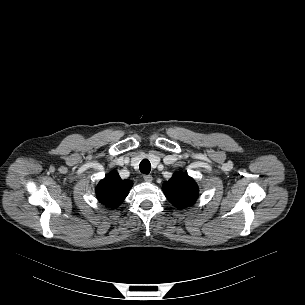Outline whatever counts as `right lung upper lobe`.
<instances>
[{"mask_svg": "<svg viewBox=\"0 0 305 305\" xmlns=\"http://www.w3.org/2000/svg\"><path fill=\"white\" fill-rule=\"evenodd\" d=\"M132 185V181L122 180L116 171H112L98 183L96 196L102 204L116 208L126 198Z\"/></svg>", "mask_w": 305, "mask_h": 305, "instance_id": "1", "label": "right lung upper lobe"}]
</instances>
